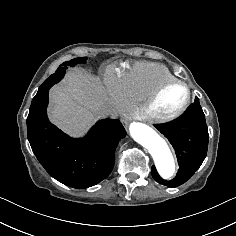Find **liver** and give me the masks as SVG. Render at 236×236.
<instances>
[{"label": "liver", "instance_id": "obj_1", "mask_svg": "<svg viewBox=\"0 0 236 236\" xmlns=\"http://www.w3.org/2000/svg\"><path fill=\"white\" fill-rule=\"evenodd\" d=\"M107 102L104 87L92 75L70 70L66 79L51 90L50 118L63 130L81 133Z\"/></svg>", "mask_w": 236, "mask_h": 236}]
</instances>
